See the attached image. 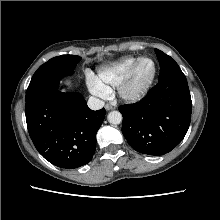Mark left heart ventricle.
I'll use <instances>...</instances> for the list:
<instances>
[{
  "mask_svg": "<svg viewBox=\"0 0 220 220\" xmlns=\"http://www.w3.org/2000/svg\"><path fill=\"white\" fill-rule=\"evenodd\" d=\"M153 72V63L151 60L142 61L134 76L133 87L138 88L147 82Z\"/></svg>",
  "mask_w": 220,
  "mask_h": 220,
  "instance_id": "obj_1",
  "label": "left heart ventricle"
}]
</instances>
